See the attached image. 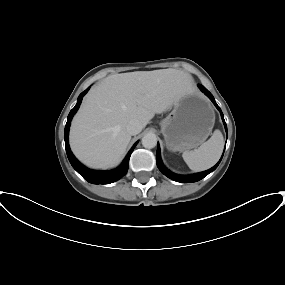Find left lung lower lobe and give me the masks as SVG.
Segmentation results:
<instances>
[{
	"mask_svg": "<svg viewBox=\"0 0 285 285\" xmlns=\"http://www.w3.org/2000/svg\"><path fill=\"white\" fill-rule=\"evenodd\" d=\"M200 90L205 93L209 98L210 100L214 103V105L217 107V109L220 111L221 113V118L224 122V125H225V129L227 131V126H226V123H225V120H224V116H223V113L220 109V107L216 104L215 100H214V97L212 96V94L202 85H198ZM222 159V157H221ZM221 159L219 160V162L213 166L211 169L209 170H206L204 172H200V173H196V174H192V175H177L175 173H172L171 171H169L162 163V160H161V155H160V147L158 145V148H157V153H156V163H157V166L159 168V170L165 175L167 176L168 178L174 180V181H177V182H181V183H189V182H196V181H199L201 180L202 178H204L206 175H208L209 173H211L212 171H214L217 166L219 165Z\"/></svg>",
	"mask_w": 285,
	"mask_h": 285,
	"instance_id": "obj_1",
	"label": "left lung lower lobe"
}]
</instances>
